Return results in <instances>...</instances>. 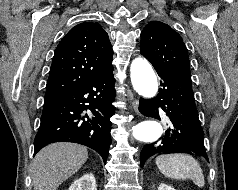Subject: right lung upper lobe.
Returning <instances> with one entry per match:
<instances>
[{
	"label": "right lung upper lobe",
	"mask_w": 238,
	"mask_h": 190,
	"mask_svg": "<svg viewBox=\"0 0 238 190\" xmlns=\"http://www.w3.org/2000/svg\"><path fill=\"white\" fill-rule=\"evenodd\" d=\"M112 56L108 34L99 23L83 22L73 27L55 50L44 103L112 70Z\"/></svg>",
	"instance_id": "right-lung-upper-lobe-1"
}]
</instances>
